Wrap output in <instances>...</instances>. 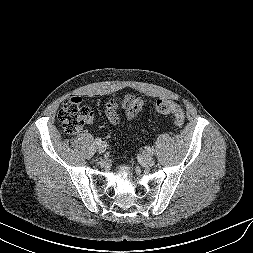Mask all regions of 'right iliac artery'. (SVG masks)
<instances>
[{
    "label": "right iliac artery",
    "instance_id": "82829eb1",
    "mask_svg": "<svg viewBox=\"0 0 253 253\" xmlns=\"http://www.w3.org/2000/svg\"><path fill=\"white\" fill-rule=\"evenodd\" d=\"M95 143H96V144H101V143H102V140H101L100 138H96V139H95Z\"/></svg>",
    "mask_w": 253,
    "mask_h": 253
}]
</instances>
